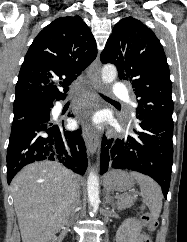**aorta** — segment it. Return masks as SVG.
Returning <instances> with one entry per match:
<instances>
[{
	"mask_svg": "<svg viewBox=\"0 0 187 242\" xmlns=\"http://www.w3.org/2000/svg\"><path fill=\"white\" fill-rule=\"evenodd\" d=\"M102 81L103 83L109 84L112 83L117 76V69L112 64L104 65L102 68ZM87 190H88V200L90 203V206L95 213L98 210L99 206V177L98 174L91 170L88 175L87 180Z\"/></svg>",
	"mask_w": 187,
	"mask_h": 242,
	"instance_id": "aorta-1",
	"label": "aorta"
}]
</instances>
